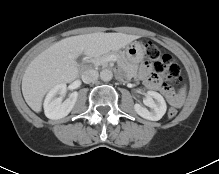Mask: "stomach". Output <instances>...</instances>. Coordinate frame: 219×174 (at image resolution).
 Instances as JSON below:
<instances>
[{
    "instance_id": "0dacf381",
    "label": "stomach",
    "mask_w": 219,
    "mask_h": 174,
    "mask_svg": "<svg viewBox=\"0 0 219 174\" xmlns=\"http://www.w3.org/2000/svg\"><path fill=\"white\" fill-rule=\"evenodd\" d=\"M124 54L129 62L139 63L144 58L145 50L139 42L135 41L126 46Z\"/></svg>"
}]
</instances>
